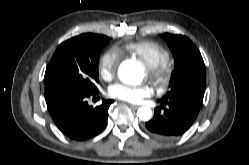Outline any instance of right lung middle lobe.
<instances>
[{"mask_svg": "<svg viewBox=\"0 0 249 165\" xmlns=\"http://www.w3.org/2000/svg\"><path fill=\"white\" fill-rule=\"evenodd\" d=\"M109 37L82 34L60 44L49 62L45 90L50 88L93 93L99 82L98 60Z\"/></svg>", "mask_w": 249, "mask_h": 165, "instance_id": "right-lung-middle-lobe-1", "label": "right lung middle lobe"}]
</instances>
